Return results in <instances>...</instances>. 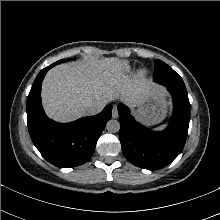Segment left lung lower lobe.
<instances>
[{"label":"left lung lower lobe","mask_w":220,"mask_h":220,"mask_svg":"<svg viewBox=\"0 0 220 220\" xmlns=\"http://www.w3.org/2000/svg\"><path fill=\"white\" fill-rule=\"evenodd\" d=\"M173 98V114L162 132L147 129L136 122L130 110L118 105L119 138L124 156L129 162L148 170L170 164L183 150L190 121V103L186 88L166 86Z\"/></svg>","instance_id":"obj_1"}]
</instances>
